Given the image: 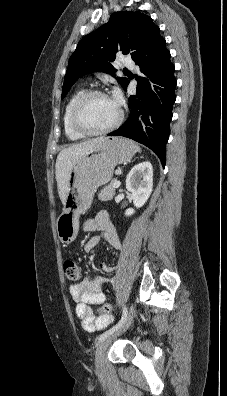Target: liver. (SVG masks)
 Returning <instances> with one entry per match:
<instances>
[{"label":"liver","instance_id":"6515ba94","mask_svg":"<svg viewBox=\"0 0 227 396\" xmlns=\"http://www.w3.org/2000/svg\"><path fill=\"white\" fill-rule=\"evenodd\" d=\"M104 139L105 137H99L87 140L65 148L58 154L55 166V175L58 194L63 205L66 200L68 181L73 164Z\"/></svg>","mask_w":227,"mask_h":396}]
</instances>
